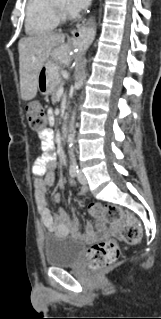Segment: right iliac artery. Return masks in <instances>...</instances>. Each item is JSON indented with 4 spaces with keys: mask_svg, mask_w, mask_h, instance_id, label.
<instances>
[{
    "mask_svg": "<svg viewBox=\"0 0 161 319\" xmlns=\"http://www.w3.org/2000/svg\"><path fill=\"white\" fill-rule=\"evenodd\" d=\"M69 172L71 174L72 177H77L79 174V168L77 165H71Z\"/></svg>",
    "mask_w": 161,
    "mask_h": 319,
    "instance_id": "obj_1",
    "label": "right iliac artery"
}]
</instances>
